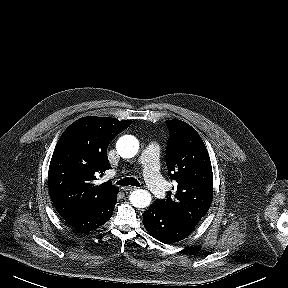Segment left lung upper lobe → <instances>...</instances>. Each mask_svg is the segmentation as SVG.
Masks as SVG:
<instances>
[{"mask_svg":"<svg viewBox=\"0 0 288 288\" xmlns=\"http://www.w3.org/2000/svg\"><path fill=\"white\" fill-rule=\"evenodd\" d=\"M166 123L169 128L166 165L177 188L174 195L168 192L167 199L155 202L177 218L197 225L212 202L213 173L209 154L201 137L189 124L180 120Z\"/></svg>","mask_w":288,"mask_h":288,"instance_id":"5c2ea615","label":"left lung upper lobe"}]
</instances>
